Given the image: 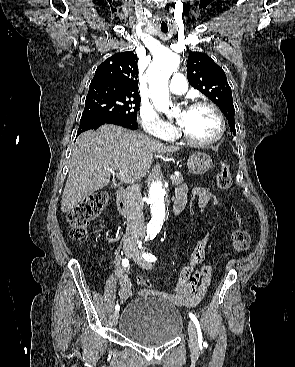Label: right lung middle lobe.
I'll use <instances>...</instances> for the list:
<instances>
[{"label": "right lung middle lobe", "mask_w": 295, "mask_h": 367, "mask_svg": "<svg viewBox=\"0 0 295 367\" xmlns=\"http://www.w3.org/2000/svg\"><path fill=\"white\" fill-rule=\"evenodd\" d=\"M139 106L140 98L138 96L89 91L80 124L116 118L137 120Z\"/></svg>", "instance_id": "right-lung-middle-lobe-1"}]
</instances>
